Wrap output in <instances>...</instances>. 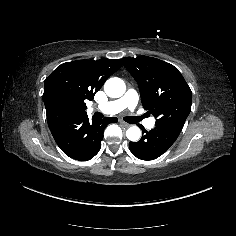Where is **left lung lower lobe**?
Listing matches in <instances>:
<instances>
[{
    "mask_svg": "<svg viewBox=\"0 0 236 236\" xmlns=\"http://www.w3.org/2000/svg\"><path fill=\"white\" fill-rule=\"evenodd\" d=\"M143 136L138 142H130L129 148L134 156L142 160H154L164 154L178 138L181 127L155 124L150 131L140 126Z\"/></svg>",
    "mask_w": 236,
    "mask_h": 236,
    "instance_id": "left-lung-lower-lobe-1",
    "label": "left lung lower lobe"
}]
</instances>
